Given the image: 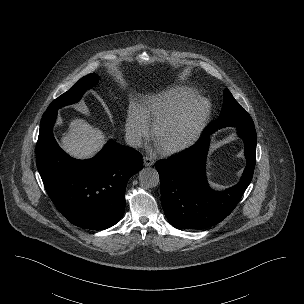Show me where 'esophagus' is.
Masks as SVG:
<instances>
[{"label": "esophagus", "instance_id": "34e87169", "mask_svg": "<svg viewBox=\"0 0 304 304\" xmlns=\"http://www.w3.org/2000/svg\"><path fill=\"white\" fill-rule=\"evenodd\" d=\"M155 161L153 158L149 157V156H146L144 157V165L145 166H152L154 165Z\"/></svg>", "mask_w": 304, "mask_h": 304}]
</instances>
